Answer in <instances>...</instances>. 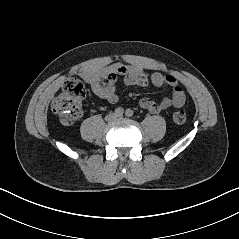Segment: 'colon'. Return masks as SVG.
Wrapping results in <instances>:
<instances>
[{"mask_svg":"<svg viewBox=\"0 0 239 239\" xmlns=\"http://www.w3.org/2000/svg\"><path fill=\"white\" fill-rule=\"evenodd\" d=\"M86 96L85 85L76 78H69L63 84L62 92L52 102L51 109L57 114L62 123L71 125L82 115V102ZM187 113L183 106L173 112V120L177 124L186 121Z\"/></svg>","mask_w":239,"mask_h":239,"instance_id":"colon-1","label":"colon"}]
</instances>
